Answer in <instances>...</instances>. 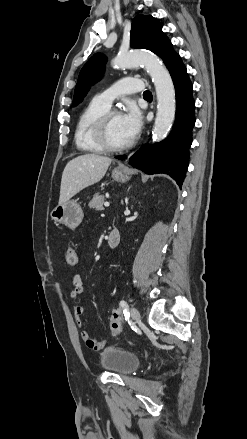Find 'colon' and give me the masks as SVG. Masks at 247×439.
<instances>
[{"mask_svg": "<svg viewBox=\"0 0 247 439\" xmlns=\"http://www.w3.org/2000/svg\"><path fill=\"white\" fill-rule=\"evenodd\" d=\"M66 262L70 266L78 263V255L74 248H68L65 254ZM122 320L118 311H114L110 318V330L113 336H117L121 332Z\"/></svg>", "mask_w": 247, "mask_h": 439, "instance_id": "1", "label": "colon"}]
</instances>
